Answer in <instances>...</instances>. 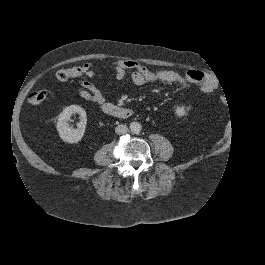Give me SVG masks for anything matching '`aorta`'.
I'll list each match as a JSON object with an SVG mask.
<instances>
[{"label": "aorta", "instance_id": "1", "mask_svg": "<svg viewBox=\"0 0 265 265\" xmlns=\"http://www.w3.org/2000/svg\"><path fill=\"white\" fill-rule=\"evenodd\" d=\"M131 132L139 133L141 131V124L137 121H133L129 125Z\"/></svg>", "mask_w": 265, "mask_h": 265}]
</instances>
